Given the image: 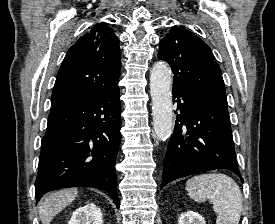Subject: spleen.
Here are the masks:
<instances>
[{
    "label": "spleen",
    "mask_w": 275,
    "mask_h": 224,
    "mask_svg": "<svg viewBox=\"0 0 275 224\" xmlns=\"http://www.w3.org/2000/svg\"><path fill=\"white\" fill-rule=\"evenodd\" d=\"M186 190L196 202L212 199L216 224H239L242 193L231 177L221 173L196 175L187 181Z\"/></svg>",
    "instance_id": "3e777b00"
}]
</instances>
